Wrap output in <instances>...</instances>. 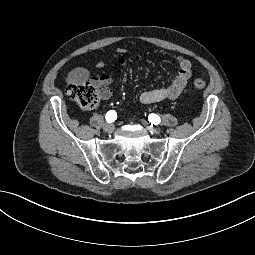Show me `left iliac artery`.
Segmentation results:
<instances>
[{
	"instance_id": "left-iliac-artery-1",
	"label": "left iliac artery",
	"mask_w": 255,
	"mask_h": 255,
	"mask_svg": "<svg viewBox=\"0 0 255 255\" xmlns=\"http://www.w3.org/2000/svg\"><path fill=\"white\" fill-rule=\"evenodd\" d=\"M148 120L151 123V125H156L160 123V117L156 114H150Z\"/></svg>"
}]
</instances>
